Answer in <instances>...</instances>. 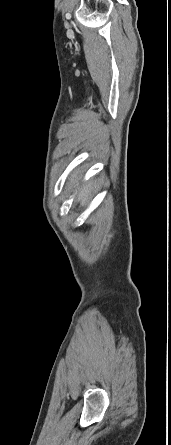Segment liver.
<instances>
[{"label":"liver","mask_w":171,"mask_h":445,"mask_svg":"<svg viewBox=\"0 0 171 445\" xmlns=\"http://www.w3.org/2000/svg\"><path fill=\"white\" fill-rule=\"evenodd\" d=\"M89 194V185L85 186L79 193L78 199L82 200Z\"/></svg>","instance_id":"liver-1"}]
</instances>
